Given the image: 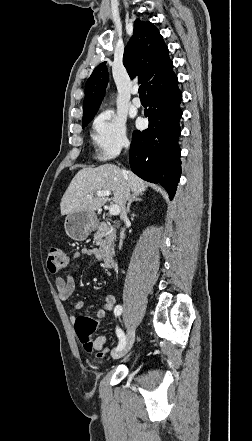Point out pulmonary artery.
Here are the masks:
<instances>
[{
	"mask_svg": "<svg viewBox=\"0 0 252 441\" xmlns=\"http://www.w3.org/2000/svg\"><path fill=\"white\" fill-rule=\"evenodd\" d=\"M132 93H133V95H134V97H133V99H132V104H133L135 107H140V106H141V100L136 96V94H137V89H133Z\"/></svg>",
	"mask_w": 252,
	"mask_h": 441,
	"instance_id": "pulmonary-artery-1",
	"label": "pulmonary artery"
}]
</instances>
